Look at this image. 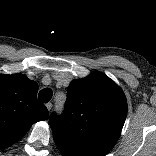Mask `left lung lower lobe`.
I'll list each match as a JSON object with an SVG mask.
<instances>
[{
    "label": "left lung lower lobe",
    "mask_w": 156,
    "mask_h": 156,
    "mask_svg": "<svg viewBox=\"0 0 156 156\" xmlns=\"http://www.w3.org/2000/svg\"><path fill=\"white\" fill-rule=\"evenodd\" d=\"M54 140H55L57 147L63 154V156H91L90 154L76 150L70 146H67L65 143L61 142L58 139H54Z\"/></svg>",
    "instance_id": "0a47b994"
}]
</instances>
